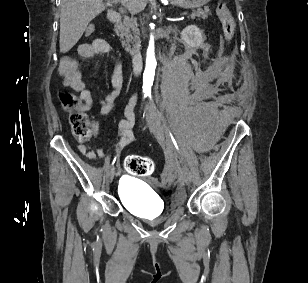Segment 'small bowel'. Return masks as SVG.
Returning a JSON list of instances; mask_svg holds the SVG:
<instances>
[{
    "label": "small bowel",
    "instance_id": "1",
    "mask_svg": "<svg viewBox=\"0 0 308 283\" xmlns=\"http://www.w3.org/2000/svg\"><path fill=\"white\" fill-rule=\"evenodd\" d=\"M110 51L109 43L104 39H96L91 44H82L78 48V53L83 58H90L99 54H106ZM59 73L63 79L65 86L79 93L80 99L83 102V109L89 110L93 107L95 99L91 92L86 88L85 83L81 78L78 62L70 57H64L59 66ZM112 90L102 100H100V113L104 116L111 114L115 107L116 101L120 96L123 85V73L121 67H117L112 75ZM136 97L133 96L125 109V119L119 122L118 128L122 135L121 141L116 145V150L120 151L125 146L132 143L135 139L132 127L135 123L134 107ZM95 135L98 130L95 127ZM79 152L86 158L93 160L97 157H104L105 151L100 148H91L84 141H80L78 145Z\"/></svg>",
    "mask_w": 308,
    "mask_h": 283
}]
</instances>
